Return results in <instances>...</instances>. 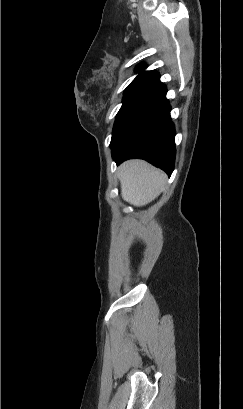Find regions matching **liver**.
<instances>
[{
    "mask_svg": "<svg viewBox=\"0 0 243 409\" xmlns=\"http://www.w3.org/2000/svg\"><path fill=\"white\" fill-rule=\"evenodd\" d=\"M121 196L134 206L152 202L163 191L166 174L143 160H129L119 167Z\"/></svg>",
    "mask_w": 243,
    "mask_h": 409,
    "instance_id": "obj_1",
    "label": "liver"
}]
</instances>
